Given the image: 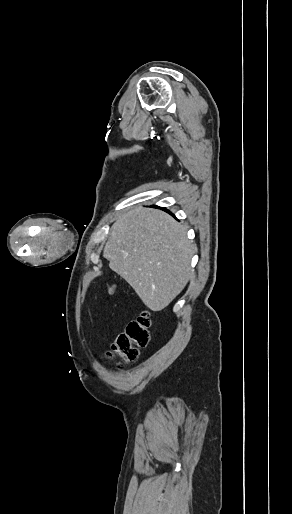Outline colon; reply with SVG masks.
Instances as JSON below:
<instances>
[{"instance_id":"colon-1","label":"colon","mask_w":292,"mask_h":514,"mask_svg":"<svg viewBox=\"0 0 292 514\" xmlns=\"http://www.w3.org/2000/svg\"><path fill=\"white\" fill-rule=\"evenodd\" d=\"M152 318L149 314L137 316L127 327L124 334L119 335L111 344L107 354L110 358L119 356L122 363L137 360L139 350L146 348L151 341Z\"/></svg>"}]
</instances>
